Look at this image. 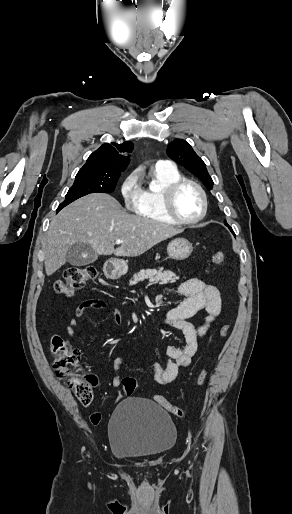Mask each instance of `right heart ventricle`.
<instances>
[{
	"label": "right heart ventricle",
	"instance_id": "e07e8e85",
	"mask_svg": "<svg viewBox=\"0 0 292 514\" xmlns=\"http://www.w3.org/2000/svg\"><path fill=\"white\" fill-rule=\"evenodd\" d=\"M153 177L160 183V188L158 190H153L150 187L142 189L141 201L134 209V212L138 216L155 222L171 224L172 222L162 210L159 200V192L162 188L181 179V176L178 171L159 172L157 169L154 171Z\"/></svg>",
	"mask_w": 292,
	"mask_h": 514
}]
</instances>
